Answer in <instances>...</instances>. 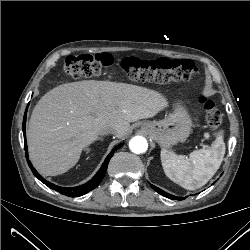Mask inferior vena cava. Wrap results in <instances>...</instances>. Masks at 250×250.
<instances>
[{
	"label": "inferior vena cava",
	"mask_w": 250,
	"mask_h": 250,
	"mask_svg": "<svg viewBox=\"0 0 250 250\" xmlns=\"http://www.w3.org/2000/svg\"><path fill=\"white\" fill-rule=\"evenodd\" d=\"M117 131L116 127L110 126L104 131L99 132L100 135H105V134H115Z\"/></svg>",
	"instance_id": "602c4592"
}]
</instances>
